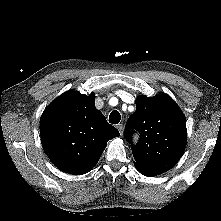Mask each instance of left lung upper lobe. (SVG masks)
<instances>
[{
  "label": "left lung upper lobe",
  "instance_id": "1",
  "mask_svg": "<svg viewBox=\"0 0 221 221\" xmlns=\"http://www.w3.org/2000/svg\"><path fill=\"white\" fill-rule=\"evenodd\" d=\"M135 131L141 136L139 144L132 146L136 168L158 175L181 158L187 141L186 119L165 93L136 99V111L125 126L128 142Z\"/></svg>",
  "mask_w": 221,
  "mask_h": 221
}]
</instances>
